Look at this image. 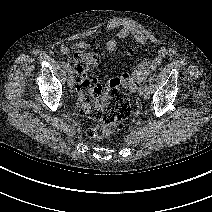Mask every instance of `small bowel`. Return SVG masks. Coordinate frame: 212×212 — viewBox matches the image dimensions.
<instances>
[{
	"mask_svg": "<svg viewBox=\"0 0 212 212\" xmlns=\"http://www.w3.org/2000/svg\"><path fill=\"white\" fill-rule=\"evenodd\" d=\"M108 30H117L115 35L110 37L108 41L105 44V50L107 52H113L116 50L118 46V42L121 39H127L132 38L136 43L140 45L147 46L150 44L149 38L140 30L138 29L134 24L126 21H119V20H112L107 24ZM91 46L90 42L88 41H79L71 46H61L59 48V51L63 55H67L75 50H84ZM172 50L167 47H162L157 51L156 56L151 58H145L141 60L136 68L135 74H137L140 77H145L150 72H153L158 68V66L161 64L162 60L166 57H169L172 55ZM136 52L133 49L128 50V56L132 60L135 56ZM131 91H135L137 88H129ZM78 97H79V91H78Z\"/></svg>",
	"mask_w": 212,
	"mask_h": 212,
	"instance_id": "c3829d8e",
	"label": "small bowel"
}]
</instances>
